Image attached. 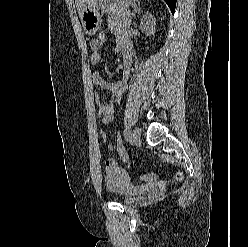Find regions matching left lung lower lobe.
I'll return each instance as SVG.
<instances>
[{
	"instance_id": "0a47b994",
	"label": "left lung lower lobe",
	"mask_w": 248,
	"mask_h": 247,
	"mask_svg": "<svg viewBox=\"0 0 248 247\" xmlns=\"http://www.w3.org/2000/svg\"><path fill=\"white\" fill-rule=\"evenodd\" d=\"M164 1H165V2L167 3V5L169 6V8H170L172 14H174L175 7H176V1H177V0H164Z\"/></svg>"
}]
</instances>
